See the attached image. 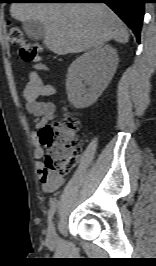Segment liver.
<instances>
[{
  "label": "liver",
  "instance_id": "1",
  "mask_svg": "<svg viewBox=\"0 0 156 266\" xmlns=\"http://www.w3.org/2000/svg\"><path fill=\"white\" fill-rule=\"evenodd\" d=\"M10 13L23 23L40 21L44 44L58 55L80 53L112 39L129 40L126 25L104 3H12Z\"/></svg>",
  "mask_w": 156,
  "mask_h": 266
}]
</instances>
